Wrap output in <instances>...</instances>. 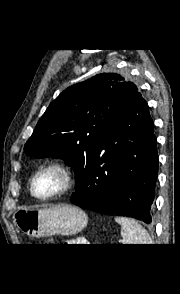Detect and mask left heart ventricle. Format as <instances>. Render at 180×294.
I'll return each mask as SVG.
<instances>
[{"mask_svg": "<svg viewBox=\"0 0 180 294\" xmlns=\"http://www.w3.org/2000/svg\"><path fill=\"white\" fill-rule=\"evenodd\" d=\"M62 184L63 178L58 172L48 171L37 177L35 181V189L39 195L46 196L57 191Z\"/></svg>", "mask_w": 180, "mask_h": 294, "instance_id": "obj_1", "label": "left heart ventricle"}]
</instances>
